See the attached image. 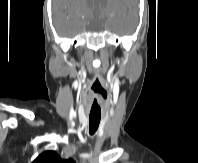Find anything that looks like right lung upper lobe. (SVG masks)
<instances>
[{
  "instance_id": "right-lung-upper-lobe-1",
  "label": "right lung upper lobe",
  "mask_w": 198,
  "mask_h": 163,
  "mask_svg": "<svg viewBox=\"0 0 198 163\" xmlns=\"http://www.w3.org/2000/svg\"><path fill=\"white\" fill-rule=\"evenodd\" d=\"M32 163H74L72 160H63L56 151H45Z\"/></svg>"
}]
</instances>
